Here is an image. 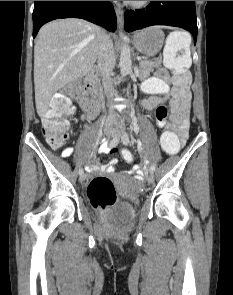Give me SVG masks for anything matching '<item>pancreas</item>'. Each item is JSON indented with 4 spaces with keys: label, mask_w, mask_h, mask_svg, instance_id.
<instances>
[{
    "label": "pancreas",
    "mask_w": 233,
    "mask_h": 295,
    "mask_svg": "<svg viewBox=\"0 0 233 295\" xmlns=\"http://www.w3.org/2000/svg\"><path fill=\"white\" fill-rule=\"evenodd\" d=\"M160 61H149V60H141L139 63V78L145 79L149 77L150 73L153 72L154 68H158L160 66Z\"/></svg>",
    "instance_id": "cf45deb5"
}]
</instances>
